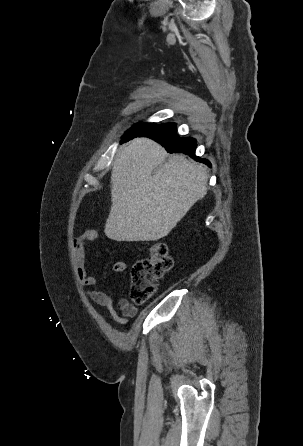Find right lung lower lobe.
Instances as JSON below:
<instances>
[{"instance_id":"1","label":"right lung lower lobe","mask_w":303,"mask_h":446,"mask_svg":"<svg viewBox=\"0 0 303 446\" xmlns=\"http://www.w3.org/2000/svg\"><path fill=\"white\" fill-rule=\"evenodd\" d=\"M136 137L151 138L162 144V146H164L169 153L188 154L190 157H194L197 161L211 166L207 159H202L195 156V149L197 146L196 140L192 137H179L177 135V129L174 123H165L160 125L155 124Z\"/></svg>"}]
</instances>
